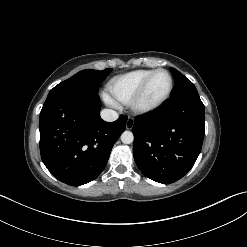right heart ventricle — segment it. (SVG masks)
Wrapping results in <instances>:
<instances>
[{"instance_id": "1", "label": "right heart ventricle", "mask_w": 247, "mask_h": 247, "mask_svg": "<svg viewBox=\"0 0 247 247\" xmlns=\"http://www.w3.org/2000/svg\"><path fill=\"white\" fill-rule=\"evenodd\" d=\"M154 70L140 69L113 77L107 84L109 93L117 101L129 104L143 81Z\"/></svg>"}]
</instances>
